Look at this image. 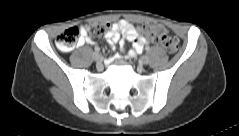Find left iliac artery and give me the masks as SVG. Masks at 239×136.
<instances>
[{
	"label": "left iliac artery",
	"instance_id": "obj_1",
	"mask_svg": "<svg viewBox=\"0 0 239 136\" xmlns=\"http://www.w3.org/2000/svg\"><path fill=\"white\" fill-rule=\"evenodd\" d=\"M150 50V47H146V51H149ZM142 52V51H141Z\"/></svg>",
	"mask_w": 239,
	"mask_h": 136
}]
</instances>
